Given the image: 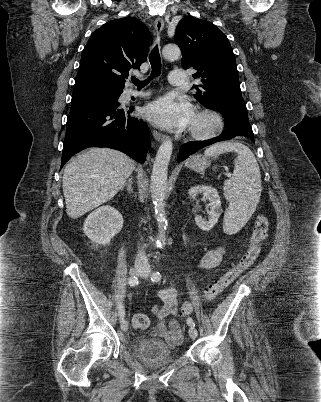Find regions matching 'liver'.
I'll return each mask as SVG.
<instances>
[{"instance_id":"liver-1","label":"liver","mask_w":321,"mask_h":402,"mask_svg":"<svg viewBox=\"0 0 321 402\" xmlns=\"http://www.w3.org/2000/svg\"><path fill=\"white\" fill-rule=\"evenodd\" d=\"M135 169V162L122 152L91 148L77 155L64 169L63 193L66 212L76 219L110 200Z\"/></svg>"}]
</instances>
